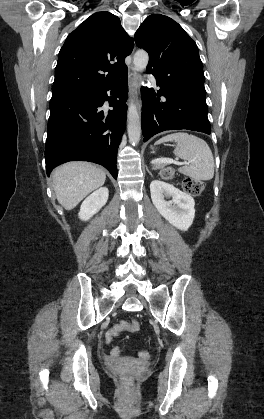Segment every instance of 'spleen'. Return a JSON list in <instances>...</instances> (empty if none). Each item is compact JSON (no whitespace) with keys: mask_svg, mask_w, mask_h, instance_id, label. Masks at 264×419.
Returning <instances> with one entry per match:
<instances>
[{"mask_svg":"<svg viewBox=\"0 0 264 419\" xmlns=\"http://www.w3.org/2000/svg\"><path fill=\"white\" fill-rule=\"evenodd\" d=\"M175 141L174 154L189 164L178 169L179 172L197 181L211 180L214 176V158L208 144L201 138L186 132L169 134L156 142Z\"/></svg>","mask_w":264,"mask_h":419,"instance_id":"obj_1","label":"spleen"}]
</instances>
